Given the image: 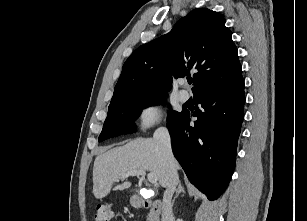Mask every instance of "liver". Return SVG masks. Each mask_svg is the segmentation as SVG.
Returning <instances> with one entry per match:
<instances>
[{
  "label": "liver",
  "mask_w": 307,
  "mask_h": 221,
  "mask_svg": "<svg viewBox=\"0 0 307 221\" xmlns=\"http://www.w3.org/2000/svg\"><path fill=\"white\" fill-rule=\"evenodd\" d=\"M133 170L154 173L161 187L168 183V159L162 145L154 138H137L127 144L99 154L93 167V194L96 199L107 196L114 182L121 175ZM131 182L125 181L115 190L129 188Z\"/></svg>",
  "instance_id": "liver-1"
}]
</instances>
